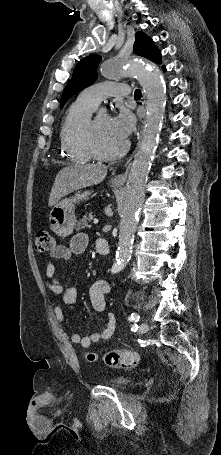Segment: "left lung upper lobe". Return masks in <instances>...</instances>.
I'll use <instances>...</instances> for the list:
<instances>
[{"label": "left lung upper lobe", "instance_id": "1", "mask_svg": "<svg viewBox=\"0 0 221 455\" xmlns=\"http://www.w3.org/2000/svg\"><path fill=\"white\" fill-rule=\"evenodd\" d=\"M134 53L151 61L158 63L161 61V53L154 45L151 38H149L143 32H137ZM101 61V56L94 54L83 58L75 67L73 76L65 87L60 107L69 100L73 95L90 86L97 78V66Z\"/></svg>", "mask_w": 221, "mask_h": 455}]
</instances>
